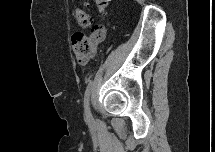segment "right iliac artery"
Listing matches in <instances>:
<instances>
[{"label": "right iliac artery", "mask_w": 215, "mask_h": 152, "mask_svg": "<svg viewBox=\"0 0 215 152\" xmlns=\"http://www.w3.org/2000/svg\"><path fill=\"white\" fill-rule=\"evenodd\" d=\"M91 89H92V81L89 82V84H88V86L86 88V91H85V96H84L85 116H86V109H87V106H88V101H89V96H90V93H91Z\"/></svg>", "instance_id": "right-iliac-artery-1"}]
</instances>
